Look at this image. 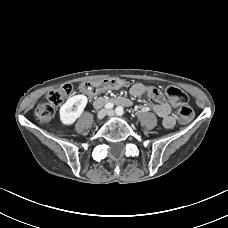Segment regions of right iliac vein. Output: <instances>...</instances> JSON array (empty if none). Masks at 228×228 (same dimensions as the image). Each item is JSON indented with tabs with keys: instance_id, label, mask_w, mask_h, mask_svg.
<instances>
[{
	"instance_id": "63e3f726",
	"label": "right iliac vein",
	"mask_w": 228,
	"mask_h": 228,
	"mask_svg": "<svg viewBox=\"0 0 228 228\" xmlns=\"http://www.w3.org/2000/svg\"><path fill=\"white\" fill-rule=\"evenodd\" d=\"M107 114V111L105 109H101L98 114H97V118L99 120H102Z\"/></svg>"
}]
</instances>
